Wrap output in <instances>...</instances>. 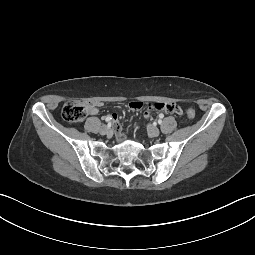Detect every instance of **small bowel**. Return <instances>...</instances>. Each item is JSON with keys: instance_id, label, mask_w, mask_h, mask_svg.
I'll return each mask as SVG.
<instances>
[{"instance_id": "obj_1", "label": "small bowel", "mask_w": 255, "mask_h": 255, "mask_svg": "<svg viewBox=\"0 0 255 255\" xmlns=\"http://www.w3.org/2000/svg\"><path fill=\"white\" fill-rule=\"evenodd\" d=\"M130 106L134 109L141 108L143 106L142 102L135 101L130 104ZM147 112L150 113L152 111H164L166 113H173L175 117L179 120H182L186 117L187 112L184 109V105L181 102H160V103H148L146 105ZM90 114L97 115L98 114V104H92L90 106ZM112 117V116H111Z\"/></svg>"}]
</instances>
